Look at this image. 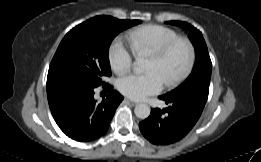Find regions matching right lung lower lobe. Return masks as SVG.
Here are the masks:
<instances>
[{
	"label": "right lung lower lobe",
	"mask_w": 261,
	"mask_h": 162,
	"mask_svg": "<svg viewBox=\"0 0 261 162\" xmlns=\"http://www.w3.org/2000/svg\"><path fill=\"white\" fill-rule=\"evenodd\" d=\"M109 94L97 104L94 88L66 84L48 95L51 113L60 129L76 141L88 142L104 135L123 97L109 84Z\"/></svg>",
	"instance_id": "obj_1"
}]
</instances>
